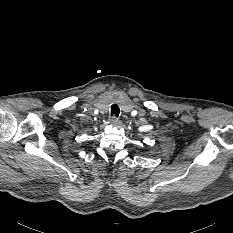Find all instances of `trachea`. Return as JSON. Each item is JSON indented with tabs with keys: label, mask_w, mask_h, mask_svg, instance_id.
<instances>
[{
	"label": "trachea",
	"mask_w": 233,
	"mask_h": 233,
	"mask_svg": "<svg viewBox=\"0 0 233 233\" xmlns=\"http://www.w3.org/2000/svg\"><path fill=\"white\" fill-rule=\"evenodd\" d=\"M119 113H120V109H119L118 105L113 104L111 106V115L115 116V117H118Z\"/></svg>",
	"instance_id": "obj_1"
}]
</instances>
